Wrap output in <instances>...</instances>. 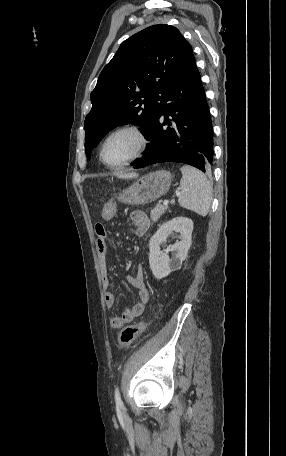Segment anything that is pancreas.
Returning a JSON list of instances; mask_svg holds the SVG:
<instances>
[{"mask_svg":"<svg viewBox=\"0 0 286 456\" xmlns=\"http://www.w3.org/2000/svg\"><path fill=\"white\" fill-rule=\"evenodd\" d=\"M168 209V206H162L160 204L156 205L152 210H151V220L153 222H156L159 220V218L165 213V211Z\"/></svg>","mask_w":286,"mask_h":456,"instance_id":"1","label":"pancreas"}]
</instances>
